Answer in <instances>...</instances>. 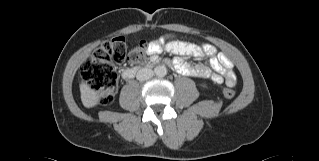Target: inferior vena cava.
<instances>
[{
	"instance_id": "inferior-vena-cava-1",
	"label": "inferior vena cava",
	"mask_w": 319,
	"mask_h": 161,
	"mask_svg": "<svg viewBox=\"0 0 319 161\" xmlns=\"http://www.w3.org/2000/svg\"><path fill=\"white\" fill-rule=\"evenodd\" d=\"M154 72L150 68H142L137 72L136 78L139 81H145L153 76Z\"/></svg>"
}]
</instances>
